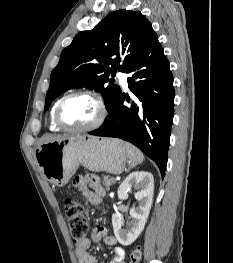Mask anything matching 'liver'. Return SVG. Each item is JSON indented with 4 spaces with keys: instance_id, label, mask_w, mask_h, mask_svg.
Listing matches in <instances>:
<instances>
[{
    "instance_id": "6515ba94",
    "label": "liver",
    "mask_w": 233,
    "mask_h": 263,
    "mask_svg": "<svg viewBox=\"0 0 233 263\" xmlns=\"http://www.w3.org/2000/svg\"><path fill=\"white\" fill-rule=\"evenodd\" d=\"M64 137H67V136L46 134L39 140L38 147L44 143L51 142L54 140H60Z\"/></svg>"
}]
</instances>
